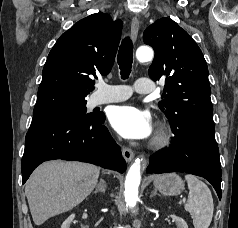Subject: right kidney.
I'll use <instances>...</instances> for the list:
<instances>
[{
	"instance_id": "obj_1",
	"label": "right kidney",
	"mask_w": 238,
	"mask_h": 228,
	"mask_svg": "<svg viewBox=\"0 0 238 228\" xmlns=\"http://www.w3.org/2000/svg\"><path fill=\"white\" fill-rule=\"evenodd\" d=\"M75 215L72 214L70 215L62 224L61 228H69L73 219H74Z\"/></svg>"
}]
</instances>
